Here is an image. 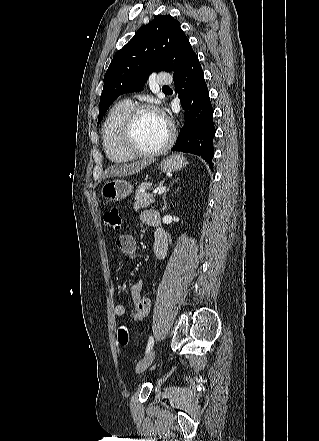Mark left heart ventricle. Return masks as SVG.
<instances>
[{
    "label": "left heart ventricle",
    "instance_id": "left-heart-ventricle-1",
    "mask_svg": "<svg viewBox=\"0 0 319 441\" xmlns=\"http://www.w3.org/2000/svg\"><path fill=\"white\" fill-rule=\"evenodd\" d=\"M168 128L165 120L157 113L144 112L134 128V141L143 150H154L166 140Z\"/></svg>",
    "mask_w": 319,
    "mask_h": 441
}]
</instances>
